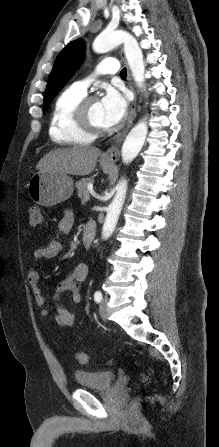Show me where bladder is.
<instances>
[{"label":"bladder","instance_id":"1","mask_svg":"<svg viewBox=\"0 0 219 447\" xmlns=\"http://www.w3.org/2000/svg\"><path fill=\"white\" fill-rule=\"evenodd\" d=\"M116 379V373L109 370L74 372V381L82 389L102 391L110 389Z\"/></svg>","mask_w":219,"mask_h":447}]
</instances>
